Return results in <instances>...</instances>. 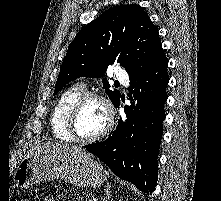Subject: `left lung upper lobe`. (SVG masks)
<instances>
[{
	"instance_id": "5c2ea615",
	"label": "left lung upper lobe",
	"mask_w": 221,
	"mask_h": 201,
	"mask_svg": "<svg viewBox=\"0 0 221 201\" xmlns=\"http://www.w3.org/2000/svg\"><path fill=\"white\" fill-rule=\"evenodd\" d=\"M163 54L158 30L142 7L130 4L107 10L83 27L69 45L54 95L79 77H102L115 63L125 68L129 78L136 77ZM102 83L115 105L120 92L110 90L106 78Z\"/></svg>"
}]
</instances>
